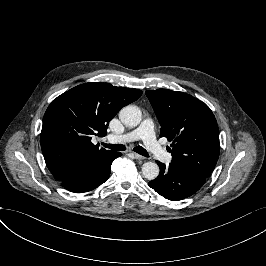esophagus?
Listing matches in <instances>:
<instances>
[{
    "label": "esophagus",
    "instance_id": "1",
    "mask_svg": "<svg viewBox=\"0 0 266 266\" xmlns=\"http://www.w3.org/2000/svg\"><path fill=\"white\" fill-rule=\"evenodd\" d=\"M132 154H133L135 159H138V160H144L145 159V157H143L142 155H139L138 153L133 152Z\"/></svg>",
    "mask_w": 266,
    "mask_h": 266
}]
</instances>
